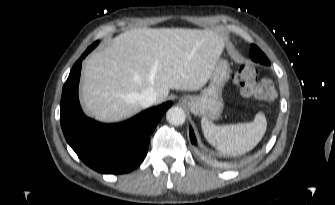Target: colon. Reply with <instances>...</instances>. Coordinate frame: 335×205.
<instances>
[{
  "label": "colon",
  "instance_id": "1",
  "mask_svg": "<svg viewBox=\"0 0 335 205\" xmlns=\"http://www.w3.org/2000/svg\"><path fill=\"white\" fill-rule=\"evenodd\" d=\"M234 81L243 95L268 100L275 96L274 84L270 79L258 80L256 69L242 65L234 76Z\"/></svg>",
  "mask_w": 335,
  "mask_h": 205
}]
</instances>
